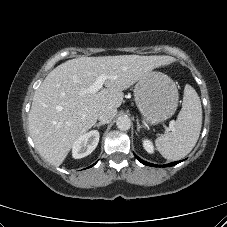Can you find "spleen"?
<instances>
[{
	"label": "spleen",
	"mask_w": 227,
	"mask_h": 227,
	"mask_svg": "<svg viewBox=\"0 0 227 227\" xmlns=\"http://www.w3.org/2000/svg\"><path fill=\"white\" fill-rule=\"evenodd\" d=\"M201 126V101L195 89L187 84L175 128L155 140L157 150L167 160L175 161L185 157L196 145Z\"/></svg>",
	"instance_id": "obj_1"
}]
</instances>
